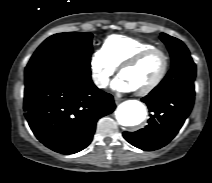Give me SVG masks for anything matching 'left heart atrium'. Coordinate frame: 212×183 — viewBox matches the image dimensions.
Listing matches in <instances>:
<instances>
[{"instance_id":"left-heart-atrium-1","label":"left heart atrium","mask_w":212,"mask_h":183,"mask_svg":"<svg viewBox=\"0 0 212 183\" xmlns=\"http://www.w3.org/2000/svg\"><path fill=\"white\" fill-rule=\"evenodd\" d=\"M113 88L119 92H129L134 90L132 86L126 81V79L119 75L113 82Z\"/></svg>"}]
</instances>
